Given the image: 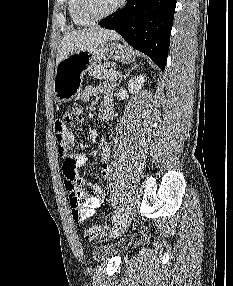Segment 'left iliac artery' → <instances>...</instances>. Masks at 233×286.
<instances>
[{
  "instance_id": "1",
  "label": "left iliac artery",
  "mask_w": 233,
  "mask_h": 286,
  "mask_svg": "<svg viewBox=\"0 0 233 286\" xmlns=\"http://www.w3.org/2000/svg\"><path fill=\"white\" fill-rule=\"evenodd\" d=\"M118 218H119L118 211H114V214L112 216V222H116Z\"/></svg>"
}]
</instances>
